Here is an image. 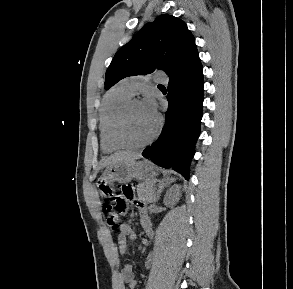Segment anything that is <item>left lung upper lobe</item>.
Masks as SVG:
<instances>
[{"label":"left lung upper lobe","instance_id":"1","mask_svg":"<svg viewBox=\"0 0 293 289\" xmlns=\"http://www.w3.org/2000/svg\"><path fill=\"white\" fill-rule=\"evenodd\" d=\"M197 54L186 23L169 14L160 15L115 54L106 71L105 89L125 77L152 73L156 68L171 76Z\"/></svg>","mask_w":293,"mask_h":289}]
</instances>
